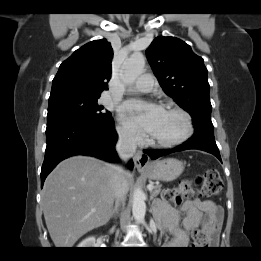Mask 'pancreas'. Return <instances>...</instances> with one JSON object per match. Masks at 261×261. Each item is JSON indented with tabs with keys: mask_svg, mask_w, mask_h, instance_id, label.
I'll use <instances>...</instances> for the list:
<instances>
[{
	"mask_svg": "<svg viewBox=\"0 0 261 261\" xmlns=\"http://www.w3.org/2000/svg\"><path fill=\"white\" fill-rule=\"evenodd\" d=\"M161 191V185L154 186V189L151 191L152 197L157 196Z\"/></svg>",
	"mask_w": 261,
	"mask_h": 261,
	"instance_id": "obj_1",
	"label": "pancreas"
}]
</instances>
